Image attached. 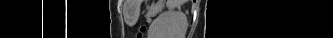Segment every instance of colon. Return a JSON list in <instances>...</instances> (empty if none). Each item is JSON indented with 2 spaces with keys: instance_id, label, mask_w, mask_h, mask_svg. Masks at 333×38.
Here are the masks:
<instances>
[{
  "instance_id": "obj_1",
  "label": "colon",
  "mask_w": 333,
  "mask_h": 38,
  "mask_svg": "<svg viewBox=\"0 0 333 38\" xmlns=\"http://www.w3.org/2000/svg\"><path fill=\"white\" fill-rule=\"evenodd\" d=\"M143 31H144V27H141L140 32L138 33V38H142Z\"/></svg>"
}]
</instances>
